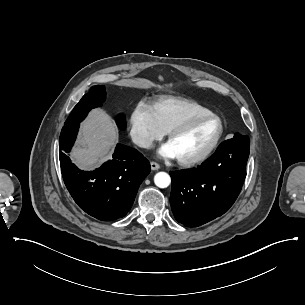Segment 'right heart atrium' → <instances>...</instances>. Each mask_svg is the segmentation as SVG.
<instances>
[{"label": "right heart atrium", "instance_id": "right-heart-atrium-1", "mask_svg": "<svg viewBox=\"0 0 305 305\" xmlns=\"http://www.w3.org/2000/svg\"><path fill=\"white\" fill-rule=\"evenodd\" d=\"M128 125L132 141L145 150L151 149L165 134L153 105L146 103L137 104L129 117Z\"/></svg>", "mask_w": 305, "mask_h": 305}]
</instances>
